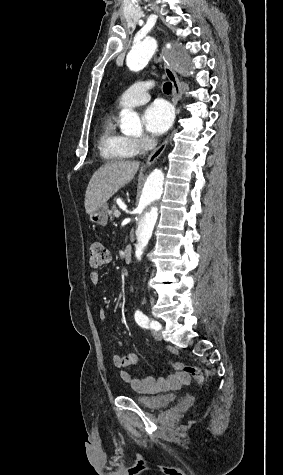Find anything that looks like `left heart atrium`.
Instances as JSON below:
<instances>
[{"instance_id": "obj_1", "label": "left heart atrium", "mask_w": 283, "mask_h": 475, "mask_svg": "<svg viewBox=\"0 0 283 475\" xmlns=\"http://www.w3.org/2000/svg\"><path fill=\"white\" fill-rule=\"evenodd\" d=\"M174 119V108L164 100L154 101L143 114L144 127L153 136L165 134L172 127Z\"/></svg>"}]
</instances>
